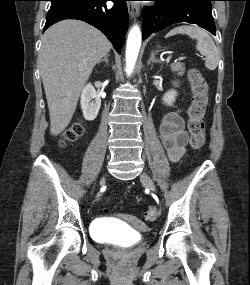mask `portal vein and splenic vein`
<instances>
[{
	"label": "portal vein and splenic vein",
	"instance_id": "portal-vein-and-splenic-vein-1",
	"mask_svg": "<svg viewBox=\"0 0 250 285\" xmlns=\"http://www.w3.org/2000/svg\"><path fill=\"white\" fill-rule=\"evenodd\" d=\"M182 59H184V57L179 58V60H182Z\"/></svg>",
	"mask_w": 250,
	"mask_h": 285
}]
</instances>
